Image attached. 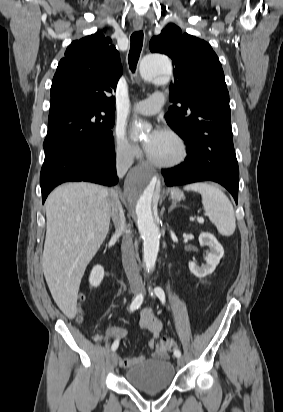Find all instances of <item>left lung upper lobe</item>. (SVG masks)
<instances>
[{"mask_svg":"<svg viewBox=\"0 0 283 412\" xmlns=\"http://www.w3.org/2000/svg\"><path fill=\"white\" fill-rule=\"evenodd\" d=\"M151 52L168 55L174 80L166 115L168 125L183 139L193 136L204 150L239 177L230 123L229 93L221 63L210 44L169 24L149 43ZM225 160V162L222 161Z\"/></svg>","mask_w":283,"mask_h":412,"instance_id":"5c2ea615","label":"left lung upper lobe"}]
</instances>
